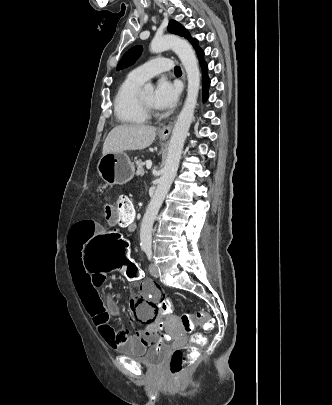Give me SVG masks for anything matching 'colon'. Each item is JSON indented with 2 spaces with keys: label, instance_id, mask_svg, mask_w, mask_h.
<instances>
[{
  "label": "colon",
  "instance_id": "5ec220e1",
  "mask_svg": "<svg viewBox=\"0 0 332 405\" xmlns=\"http://www.w3.org/2000/svg\"><path fill=\"white\" fill-rule=\"evenodd\" d=\"M114 208L119 209L120 220L118 222H128L135 217V209L130 198L125 194L116 197ZM89 247L85 250L88 271L93 275H126V282H141L144 277L142 267L138 262H134L133 256H127V240H123L122 234H97L96 240H90ZM151 288H162L153 284ZM157 306L160 313H155L154 321L159 334L160 342H169L170 334L161 333L167 329L168 319L173 318L172 301L165 294L163 299H158ZM196 319L199 320L204 329L211 330L212 323L208 314L204 310L196 313ZM181 327L185 332H191L194 327V317L190 313H183L180 316ZM195 343H202L204 337L200 333L192 336ZM197 359V350L195 346H185L175 349L169 361V371L173 376H180Z\"/></svg>",
  "mask_w": 332,
  "mask_h": 405
}]
</instances>
